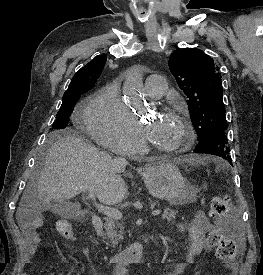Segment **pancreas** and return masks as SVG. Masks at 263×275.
I'll return each instance as SVG.
<instances>
[{"instance_id":"pancreas-1","label":"pancreas","mask_w":263,"mask_h":275,"mask_svg":"<svg viewBox=\"0 0 263 275\" xmlns=\"http://www.w3.org/2000/svg\"><path fill=\"white\" fill-rule=\"evenodd\" d=\"M176 213L175 210L166 208L162 214V218H166L168 221L174 220ZM104 229L106 231L104 239H109L113 245L118 244L123 239V226L117 219L111 217L105 218Z\"/></svg>"}]
</instances>
